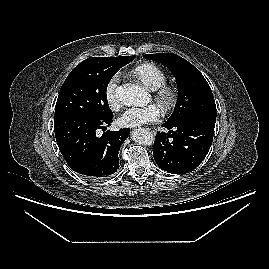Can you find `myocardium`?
<instances>
[{"instance_id": "f54148a6", "label": "myocardium", "mask_w": 269, "mask_h": 269, "mask_svg": "<svg viewBox=\"0 0 269 269\" xmlns=\"http://www.w3.org/2000/svg\"><path fill=\"white\" fill-rule=\"evenodd\" d=\"M155 101L164 113H169L177 103V93L170 87L163 85L155 90Z\"/></svg>"}]
</instances>
